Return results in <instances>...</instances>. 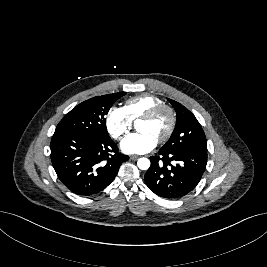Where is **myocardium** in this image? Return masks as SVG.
<instances>
[{
  "label": "myocardium",
  "instance_id": "1",
  "mask_svg": "<svg viewBox=\"0 0 267 267\" xmlns=\"http://www.w3.org/2000/svg\"><path fill=\"white\" fill-rule=\"evenodd\" d=\"M166 113L169 118V124L165 133L158 139L159 143L166 142L173 134L177 118L173 108L167 104H159L148 110L141 118L140 121H151L156 119L160 114Z\"/></svg>",
  "mask_w": 267,
  "mask_h": 267
}]
</instances>
